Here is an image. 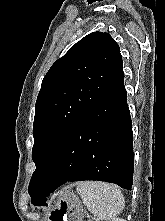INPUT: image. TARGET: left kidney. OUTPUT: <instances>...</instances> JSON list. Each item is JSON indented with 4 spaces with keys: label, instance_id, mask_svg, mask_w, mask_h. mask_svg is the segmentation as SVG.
<instances>
[{
    "label": "left kidney",
    "instance_id": "left-kidney-1",
    "mask_svg": "<svg viewBox=\"0 0 165 221\" xmlns=\"http://www.w3.org/2000/svg\"><path fill=\"white\" fill-rule=\"evenodd\" d=\"M112 221H126V220H124L122 218H114Z\"/></svg>",
    "mask_w": 165,
    "mask_h": 221
}]
</instances>
